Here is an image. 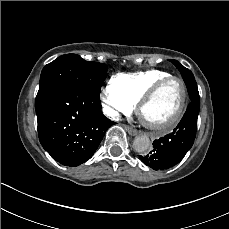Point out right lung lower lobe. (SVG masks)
<instances>
[{"label":"right lung lower lobe","mask_w":229,"mask_h":229,"mask_svg":"<svg viewBox=\"0 0 229 229\" xmlns=\"http://www.w3.org/2000/svg\"><path fill=\"white\" fill-rule=\"evenodd\" d=\"M38 135L52 158L78 166L95 153L114 123L101 112L99 94L75 85L57 86L35 102Z\"/></svg>","instance_id":"98d812e1"}]
</instances>
